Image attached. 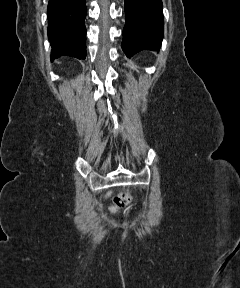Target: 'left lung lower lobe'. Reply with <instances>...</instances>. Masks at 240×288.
<instances>
[{"label":"left lung lower lobe","instance_id":"obj_1","mask_svg":"<svg viewBox=\"0 0 240 288\" xmlns=\"http://www.w3.org/2000/svg\"><path fill=\"white\" fill-rule=\"evenodd\" d=\"M126 23L122 49L127 57L141 50H157L163 35L162 0H125Z\"/></svg>","mask_w":240,"mask_h":288}]
</instances>
